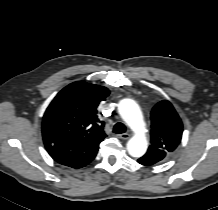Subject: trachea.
Instances as JSON below:
<instances>
[{"instance_id": "3493384b", "label": "trachea", "mask_w": 218, "mask_h": 210, "mask_svg": "<svg viewBox=\"0 0 218 210\" xmlns=\"http://www.w3.org/2000/svg\"><path fill=\"white\" fill-rule=\"evenodd\" d=\"M126 131V127L123 123H116L113 127V133L122 134Z\"/></svg>"}]
</instances>
